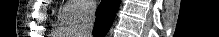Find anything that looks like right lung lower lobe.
<instances>
[{"label":"right lung lower lobe","mask_w":219,"mask_h":37,"mask_svg":"<svg viewBox=\"0 0 219 37\" xmlns=\"http://www.w3.org/2000/svg\"><path fill=\"white\" fill-rule=\"evenodd\" d=\"M120 5V0H102L98 6L93 28L94 37H104L109 30Z\"/></svg>","instance_id":"98d812e1"}]
</instances>
